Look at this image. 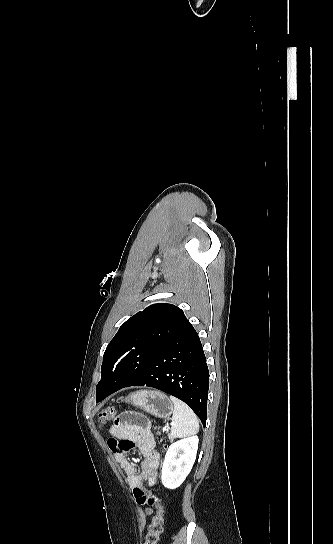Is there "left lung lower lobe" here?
<instances>
[{
  "label": "left lung lower lobe",
  "instance_id": "0a47b994",
  "mask_svg": "<svg viewBox=\"0 0 333 544\" xmlns=\"http://www.w3.org/2000/svg\"><path fill=\"white\" fill-rule=\"evenodd\" d=\"M129 386H149L179 398L205 426L209 371L199 336L187 319L140 374L124 387ZM114 392H100L96 394V401Z\"/></svg>",
  "mask_w": 333,
  "mask_h": 544
}]
</instances>
